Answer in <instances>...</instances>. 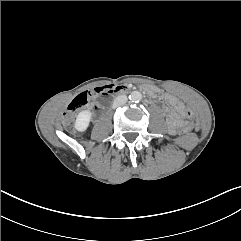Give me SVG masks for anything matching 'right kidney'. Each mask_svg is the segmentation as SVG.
<instances>
[{
    "label": "right kidney",
    "mask_w": 241,
    "mask_h": 241,
    "mask_svg": "<svg viewBox=\"0 0 241 241\" xmlns=\"http://www.w3.org/2000/svg\"><path fill=\"white\" fill-rule=\"evenodd\" d=\"M91 118H92V112L90 110L81 111L77 115L74 123L75 130L79 132H84L88 128Z\"/></svg>",
    "instance_id": "ca27d5eb"
}]
</instances>
